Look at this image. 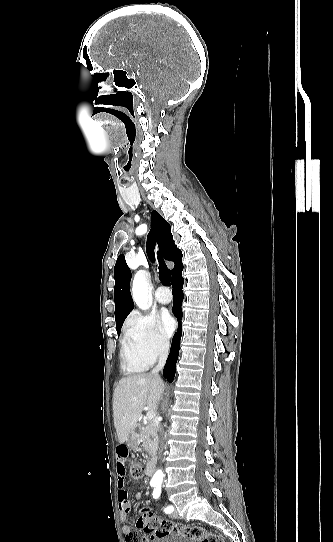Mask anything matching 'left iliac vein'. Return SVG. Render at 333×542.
<instances>
[{"mask_svg": "<svg viewBox=\"0 0 333 542\" xmlns=\"http://www.w3.org/2000/svg\"><path fill=\"white\" fill-rule=\"evenodd\" d=\"M172 515H173V516H176V515H177V512H176V511H175V512H173V514H172Z\"/></svg>", "mask_w": 333, "mask_h": 542, "instance_id": "1", "label": "left iliac vein"}]
</instances>
